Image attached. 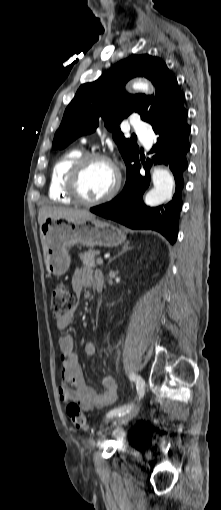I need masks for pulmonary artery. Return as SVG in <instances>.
Listing matches in <instances>:
<instances>
[{
  "instance_id": "e3ab8cb5",
  "label": "pulmonary artery",
  "mask_w": 221,
  "mask_h": 510,
  "mask_svg": "<svg viewBox=\"0 0 221 510\" xmlns=\"http://www.w3.org/2000/svg\"><path fill=\"white\" fill-rule=\"evenodd\" d=\"M131 124L145 147H150L153 140V132L148 127L147 123L134 118L132 119ZM82 141L85 142V138H83Z\"/></svg>"
}]
</instances>
